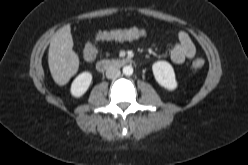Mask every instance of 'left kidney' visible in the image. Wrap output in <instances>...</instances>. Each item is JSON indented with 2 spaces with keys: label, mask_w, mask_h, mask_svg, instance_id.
<instances>
[{
  "label": "left kidney",
  "mask_w": 248,
  "mask_h": 165,
  "mask_svg": "<svg viewBox=\"0 0 248 165\" xmlns=\"http://www.w3.org/2000/svg\"><path fill=\"white\" fill-rule=\"evenodd\" d=\"M152 71L157 83L167 90H175L177 81L174 69L167 61H157L152 65Z\"/></svg>",
  "instance_id": "obj_1"
}]
</instances>
